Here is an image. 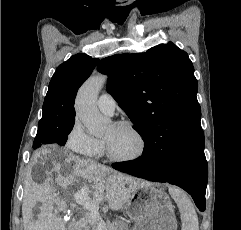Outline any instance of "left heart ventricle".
Here are the masks:
<instances>
[{"instance_id": "1", "label": "left heart ventricle", "mask_w": 241, "mask_h": 230, "mask_svg": "<svg viewBox=\"0 0 241 230\" xmlns=\"http://www.w3.org/2000/svg\"><path fill=\"white\" fill-rule=\"evenodd\" d=\"M103 140L109 144L112 153L117 157H130L139 150L138 138L126 127L111 125Z\"/></svg>"}]
</instances>
